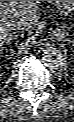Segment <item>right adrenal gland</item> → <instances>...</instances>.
<instances>
[{"label": "right adrenal gland", "instance_id": "1", "mask_svg": "<svg viewBox=\"0 0 74 122\" xmlns=\"http://www.w3.org/2000/svg\"><path fill=\"white\" fill-rule=\"evenodd\" d=\"M19 35H20L19 33H15V32L11 33V35L8 37L6 41V44L10 45L13 40L17 41Z\"/></svg>", "mask_w": 74, "mask_h": 122}]
</instances>
